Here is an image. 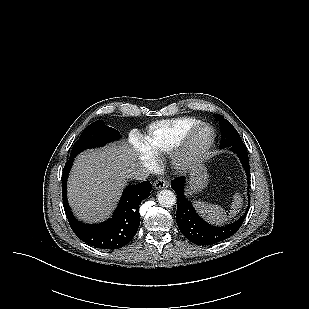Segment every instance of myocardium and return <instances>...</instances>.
<instances>
[{
    "instance_id": "1",
    "label": "myocardium",
    "mask_w": 309,
    "mask_h": 309,
    "mask_svg": "<svg viewBox=\"0 0 309 309\" xmlns=\"http://www.w3.org/2000/svg\"><path fill=\"white\" fill-rule=\"evenodd\" d=\"M207 128L210 130L211 136L209 140L203 144L196 143V136L200 129ZM216 138L215 129L208 123L199 122L187 132L185 138L171 154L172 164L176 168L185 169L195 161L199 160L213 146Z\"/></svg>"
}]
</instances>
